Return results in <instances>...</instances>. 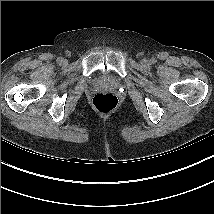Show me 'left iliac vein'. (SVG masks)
I'll return each mask as SVG.
<instances>
[{
  "label": "left iliac vein",
  "mask_w": 214,
  "mask_h": 214,
  "mask_svg": "<svg viewBox=\"0 0 214 214\" xmlns=\"http://www.w3.org/2000/svg\"><path fill=\"white\" fill-rule=\"evenodd\" d=\"M142 64H145V65H146V64H148V61H147L146 59H143V60H142Z\"/></svg>",
  "instance_id": "obj_1"
}]
</instances>
